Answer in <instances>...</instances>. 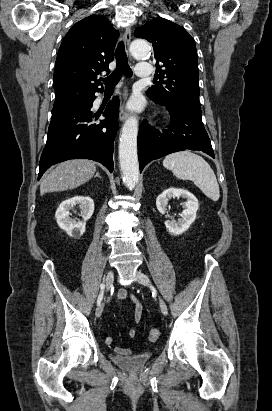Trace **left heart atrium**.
Here are the masks:
<instances>
[{"mask_svg": "<svg viewBox=\"0 0 272 411\" xmlns=\"http://www.w3.org/2000/svg\"><path fill=\"white\" fill-rule=\"evenodd\" d=\"M130 106H131L132 108H134V109L140 108L141 104H140L139 99H138V98H134V99L131 101Z\"/></svg>", "mask_w": 272, "mask_h": 411, "instance_id": "left-heart-atrium-1", "label": "left heart atrium"}]
</instances>
